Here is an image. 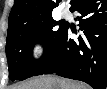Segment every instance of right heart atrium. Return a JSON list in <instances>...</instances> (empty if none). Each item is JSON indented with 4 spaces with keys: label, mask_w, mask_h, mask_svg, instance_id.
Here are the masks:
<instances>
[{
    "label": "right heart atrium",
    "mask_w": 107,
    "mask_h": 89,
    "mask_svg": "<svg viewBox=\"0 0 107 89\" xmlns=\"http://www.w3.org/2000/svg\"><path fill=\"white\" fill-rule=\"evenodd\" d=\"M45 49L44 42L41 38H35L30 44V53L34 58L40 57Z\"/></svg>",
    "instance_id": "1"
}]
</instances>
